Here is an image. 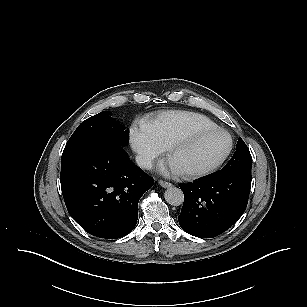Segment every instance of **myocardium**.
<instances>
[{
	"mask_svg": "<svg viewBox=\"0 0 307 307\" xmlns=\"http://www.w3.org/2000/svg\"><path fill=\"white\" fill-rule=\"evenodd\" d=\"M215 133H223L227 135L229 139V146L226 152L213 164L200 168L197 170H191V171H185V172H178V175L182 177L183 179H197L204 177L206 175H209L215 171H217L230 157L233 149H234V139L232 134L227 131L226 129L222 127H213V128H208V129H203V130H197L194 132H191L190 134L186 135L185 137L179 139L178 141L174 142L170 146L166 148V154L168 157L176 152H179L188 146H190L192 143L195 141L204 138L206 136L215 134Z\"/></svg>",
	"mask_w": 307,
	"mask_h": 307,
	"instance_id": "myocardium-1",
	"label": "myocardium"
}]
</instances>
